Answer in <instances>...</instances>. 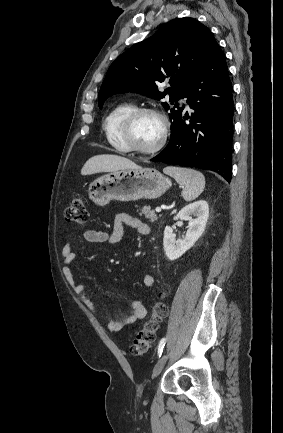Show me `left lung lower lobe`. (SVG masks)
<instances>
[{"mask_svg": "<svg viewBox=\"0 0 283 433\" xmlns=\"http://www.w3.org/2000/svg\"><path fill=\"white\" fill-rule=\"evenodd\" d=\"M232 92L225 56L216 43L186 89L191 111L172 122L169 144L151 161L212 170L230 182Z\"/></svg>", "mask_w": 283, "mask_h": 433, "instance_id": "left-lung-lower-lobe-1", "label": "left lung lower lobe"}]
</instances>
